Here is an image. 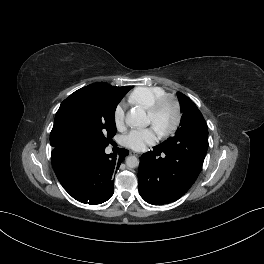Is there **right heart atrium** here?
<instances>
[{
	"label": "right heart atrium",
	"instance_id": "1",
	"mask_svg": "<svg viewBox=\"0 0 264 264\" xmlns=\"http://www.w3.org/2000/svg\"><path fill=\"white\" fill-rule=\"evenodd\" d=\"M114 124L118 129H122L125 126V110L122 105H118L114 110Z\"/></svg>",
	"mask_w": 264,
	"mask_h": 264
}]
</instances>
